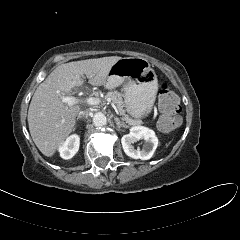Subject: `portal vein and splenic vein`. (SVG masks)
Wrapping results in <instances>:
<instances>
[{
  "instance_id": "obj_1",
  "label": "portal vein and splenic vein",
  "mask_w": 240,
  "mask_h": 240,
  "mask_svg": "<svg viewBox=\"0 0 240 240\" xmlns=\"http://www.w3.org/2000/svg\"><path fill=\"white\" fill-rule=\"evenodd\" d=\"M61 99H62V102L66 103L67 105H74V104H78V103H84V104H88V105H97V104L101 103V99H99L97 97H88L86 99H79L74 96H62ZM115 110L117 112L116 108H115Z\"/></svg>"
}]
</instances>
